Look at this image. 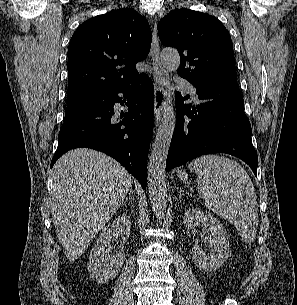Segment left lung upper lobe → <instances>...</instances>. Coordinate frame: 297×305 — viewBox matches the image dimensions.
<instances>
[{"mask_svg": "<svg viewBox=\"0 0 297 305\" xmlns=\"http://www.w3.org/2000/svg\"><path fill=\"white\" fill-rule=\"evenodd\" d=\"M158 34L163 45L178 49V74L194 86L237 80L232 40L216 17L175 9L160 20Z\"/></svg>", "mask_w": 297, "mask_h": 305, "instance_id": "left-lung-upper-lobe-1", "label": "left lung upper lobe"}]
</instances>
